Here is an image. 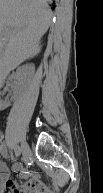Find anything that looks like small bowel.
<instances>
[{
    "label": "small bowel",
    "instance_id": "c3829d8e",
    "mask_svg": "<svg viewBox=\"0 0 103 193\" xmlns=\"http://www.w3.org/2000/svg\"><path fill=\"white\" fill-rule=\"evenodd\" d=\"M1 154L9 159V153L4 142L0 143ZM18 173L21 180L27 181V187L20 186L10 179L11 173ZM1 193H18L17 188L24 187L26 193H55L48 185L40 182L39 175L31 170H25L23 165L15 163L11 169L5 164L0 168Z\"/></svg>",
    "mask_w": 103,
    "mask_h": 193
}]
</instances>
